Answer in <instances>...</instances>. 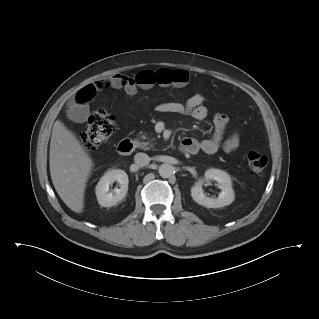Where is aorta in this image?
<instances>
[{
  "instance_id": "obj_1",
  "label": "aorta",
  "mask_w": 319,
  "mask_h": 319,
  "mask_svg": "<svg viewBox=\"0 0 319 319\" xmlns=\"http://www.w3.org/2000/svg\"><path fill=\"white\" fill-rule=\"evenodd\" d=\"M159 175L162 178H169L174 173V167L171 164H161L158 169Z\"/></svg>"
}]
</instances>
